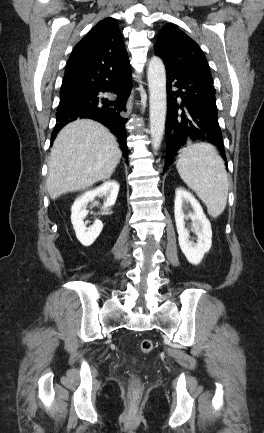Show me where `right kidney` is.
<instances>
[{"mask_svg": "<svg viewBox=\"0 0 264 433\" xmlns=\"http://www.w3.org/2000/svg\"><path fill=\"white\" fill-rule=\"evenodd\" d=\"M119 192V184L115 180L107 181L96 189L85 192L78 197L71 208V222L76 233L77 239L84 246H90L97 239L103 229V223L96 219L94 224L87 227L84 218L88 214L86 206L95 197H106L104 209L115 204Z\"/></svg>", "mask_w": 264, "mask_h": 433, "instance_id": "obj_1", "label": "right kidney"}]
</instances>
